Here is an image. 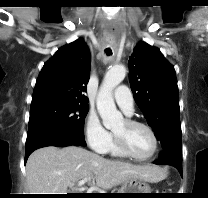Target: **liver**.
<instances>
[{
    "label": "liver",
    "instance_id": "liver-1",
    "mask_svg": "<svg viewBox=\"0 0 208 198\" xmlns=\"http://www.w3.org/2000/svg\"><path fill=\"white\" fill-rule=\"evenodd\" d=\"M89 178L92 187L111 189L130 179L156 182L163 171L152 165H132L112 161L77 146L37 149L26 163V182L30 194H67L70 184Z\"/></svg>",
    "mask_w": 208,
    "mask_h": 198
}]
</instances>
